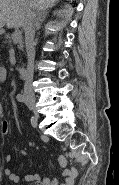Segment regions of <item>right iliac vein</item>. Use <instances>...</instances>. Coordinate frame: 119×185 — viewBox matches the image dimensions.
Returning <instances> with one entry per match:
<instances>
[{"label": "right iliac vein", "instance_id": "obj_1", "mask_svg": "<svg viewBox=\"0 0 119 185\" xmlns=\"http://www.w3.org/2000/svg\"><path fill=\"white\" fill-rule=\"evenodd\" d=\"M26 104L28 105V107L30 109H32L34 111V116L32 118V122L34 124H36L37 121H38V118H39V114L37 113L36 108H35V100L32 99V98H29V99L26 100Z\"/></svg>", "mask_w": 119, "mask_h": 185}]
</instances>
